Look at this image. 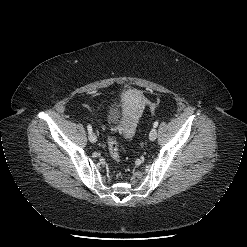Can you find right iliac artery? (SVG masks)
<instances>
[{"mask_svg": "<svg viewBox=\"0 0 247 247\" xmlns=\"http://www.w3.org/2000/svg\"><path fill=\"white\" fill-rule=\"evenodd\" d=\"M87 130H88L89 133L92 132V127H91V125H88V126H87Z\"/></svg>", "mask_w": 247, "mask_h": 247, "instance_id": "1", "label": "right iliac artery"}]
</instances>
